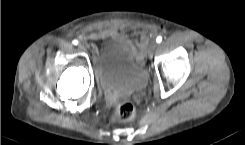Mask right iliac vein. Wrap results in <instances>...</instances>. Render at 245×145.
<instances>
[{"mask_svg":"<svg viewBox=\"0 0 245 145\" xmlns=\"http://www.w3.org/2000/svg\"><path fill=\"white\" fill-rule=\"evenodd\" d=\"M78 48H79L80 50H84V49H85L84 45L81 44V43L78 44Z\"/></svg>","mask_w":245,"mask_h":145,"instance_id":"63e3f726","label":"right iliac vein"}]
</instances>
